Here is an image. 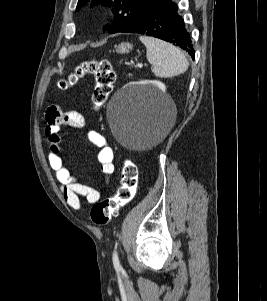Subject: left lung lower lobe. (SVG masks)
Wrapping results in <instances>:
<instances>
[{
    "instance_id": "1",
    "label": "left lung lower lobe",
    "mask_w": 267,
    "mask_h": 301,
    "mask_svg": "<svg viewBox=\"0 0 267 301\" xmlns=\"http://www.w3.org/2000/svg\"><path fill=\"white\" fill-rule=\"evenodd\" d=\"M177 11V5L172 0H159L118 32L138 33L163 39L186 50L194 59L191 38Z\"/></svg>"
}]
</instances>
